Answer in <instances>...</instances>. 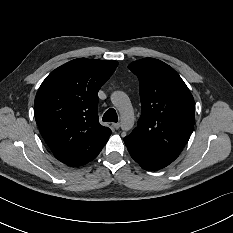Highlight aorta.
Returning a JSON list of instances; mask_svg holds the SVG:
<instances>
[{"instance_id":"aorta-1","label":"aorta","mask_w":233,"mask_h":233,"mask_svg":"<svg viewBox=\"0 0 233 233\" xmlns=\"http://www.w3.org/2000/svg\"><path fill=\"white\" fill-rule=\"evenodd\" d=\"M111 100L120 113L122 127L130 129L134 124L135 116L129 97L123 92H116Z\"/></svg>"}]
</instances>
